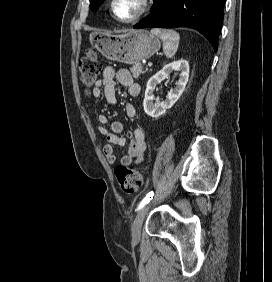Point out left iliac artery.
<instances>
[{"label": "left iliac artery", "instance_id": "44dca946", "mask_svg": "<svg viewBox=\"0 0 272 282\" xmlns=\"http://www.w3.org/2000/svg\"><path fill=\"white\" fill-rule=\"evenodd\" d=\"M153 191H151L150 193H148L146 195V197L140 202V204L138 205L137 210L141 209L142 207H144L146 204H148L150 202L151 199H153Z\"/></svg>", "mask_w": 272, "mask_h": 282}]
</instances>
